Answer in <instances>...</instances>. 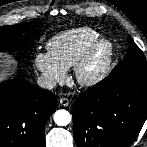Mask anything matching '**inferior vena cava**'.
Instances as JSON below:
<instances>
[{"label":"inferior vena cava","mask_w":147,"mask_h":147,"mask_svg":"<svg viewBox=\"0 0 147 147\" xmlns=\"http://www.w3.org/2000/svg\"><path fill=\"white\" fill-rule=\"evenodd\" d=\"M37 83L41 88L53 89L56 86V82L49 77L39 76Z\"/></svg>","instance_id":"obj_1"}]
</instances>
